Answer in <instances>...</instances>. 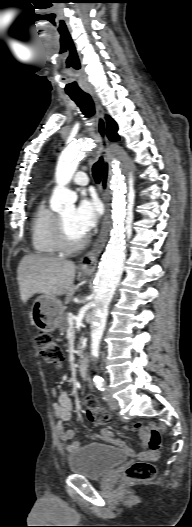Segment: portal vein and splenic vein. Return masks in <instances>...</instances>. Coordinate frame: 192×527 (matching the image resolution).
Masks as SVG:
<instances>
[{"instance_id": "portal-vein-and-splenic-vein-1", "label": "portal vein and splenic vein", "mask_w": 192, "mask_h": 527, "mask_svg": "<svg viewBox=\"0 0 192 527\" xmlns=\"http://www.w3.org/2000/svg\"><path fill=\"white\" fill-rule=\"evenodd\" d=\"M68 323H69L70 325H74V315L71 314V313H70L69 316H68Z\"/></svg>"}]
</instances>
